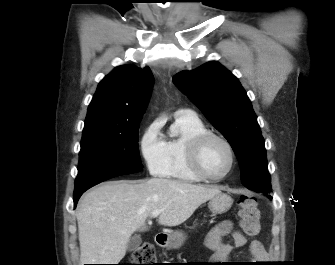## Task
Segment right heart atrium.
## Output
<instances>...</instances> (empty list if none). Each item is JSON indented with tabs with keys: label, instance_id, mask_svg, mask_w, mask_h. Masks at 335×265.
Masks as SVG:
<instances>
[{
	"label": "right heart atrium",
	"instance_id": "1",
	"mask_svg": "<svg viewBox=\"0 0 335 265\" xmlns=\"http://www.w3.org/2000/svg\"><path fill=\"white\" fill-rule=\"evenodd\" d=\"M140 151L149 172L154 176H163L167 165V152L157 121L145 129L140 140Z\"/></svg>",
	"mask_w": 335,
	"mask_h": 265
}]
</instances>
